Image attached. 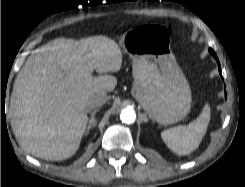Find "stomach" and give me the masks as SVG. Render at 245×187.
Segmentation results:
<instances>
[{"mask_svg":"<svg viewBox=\"0 0 245 187\" xmlns=\"http://www.w3.org/2000/svg\"><path fill=\"white\" fill-rule=\"evenodd\" d=\"M133 60L131 93L152 120L168 125L191 109V90L171 51L169 30L146 24L126 32L120 41Z\"/></svg>","mask_w":245,"mask_h":187,"instance_id":"0dacf381","label":"stomach"}]
</instances>
